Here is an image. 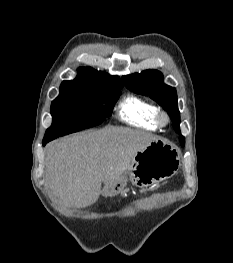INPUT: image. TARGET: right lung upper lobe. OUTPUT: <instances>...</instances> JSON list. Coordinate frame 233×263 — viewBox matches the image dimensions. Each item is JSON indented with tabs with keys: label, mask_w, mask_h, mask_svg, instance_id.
<instances>
[{
	"label": "right lung upper lobe",
	"mask_w": 233,
	"mask_h": 263,
	"mask_svg": "<svg viewBox=\"0 0 233 263\" xmlns=\"http://www.w3.org/2000/svg\"><path fill=\"white\" fill-rule=\"evenodd\" d=\"M121 87L122 83L118 76H109L90 67H81L74 80L61 83L59 96L99 94Z\"/></svg>",
	"instance_id": "right-lung-upper-lobe-1"
}]
</instances>
